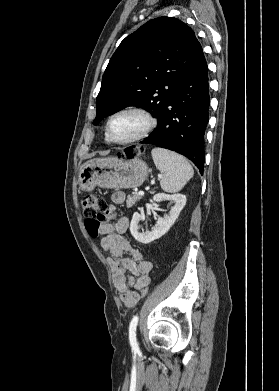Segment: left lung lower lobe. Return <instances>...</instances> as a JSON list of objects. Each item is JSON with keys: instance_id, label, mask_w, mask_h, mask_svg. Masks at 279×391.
I'll use <instances>...</instances> for the list:
<instances>
[{"instance_id": "obj_1", "label": "left lung lower lobe", "mask_w": 279, "mask_h": 391, "mask_svg": "<svg viewBox=\"0 0 279 391\" xmlns=\"http://www.w3.org/2000/svg\"><path fill=\"white\" fill-rule=\"evenodd\" d=\"M209 104L208 68L202 52L193 69L166 102L157 128L142 143L184 155L203 174L204 134L209 121Z\"/></svg>"}]
</instances>
